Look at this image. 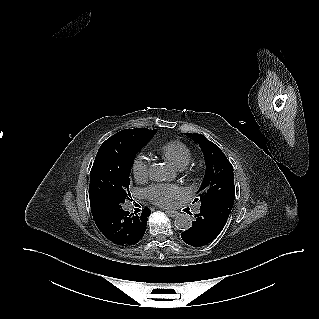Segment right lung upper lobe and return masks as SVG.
<instances>
[{"mask_svg": "<svg viewBox=\"0 0 319 319\" xmlns=\"http://www.w3.org/2000/svg\"><path fill=\"white\" fill-rule=\"evenodd\" d=\"M122 132L133 139L143 141L148 139L151 136L153 130H149L146 128H136V129H125V130H122Z\"/></svg>", "mask_w": 319, "mask_h": 319, "instance_id": "obj_1", "label": "right lung upper lobe"}]
</instances>
